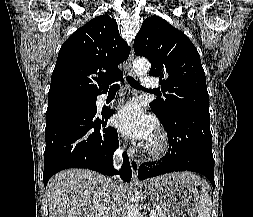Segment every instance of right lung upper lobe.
I'll return each instance as SVG.
<instances>
[{
	"instance_id": "cb5924a9",
	"label": "right lung upper lobe",
	"mask_w": 253,
	"mask_h": 217,
	"mask_svg": "<svg viewBox=\"0 0 253 217\" xmlns=\"http://www.w3.org/2000/svg\"><path fill=\"white\" fill-rule=\"evenodd\" d=\"M130 48L118 26L107 15L98 16L76 30L61 46L52 73L48 102L97 97L122 77L118 65Z\"/></svg>"
}]
</instances>
